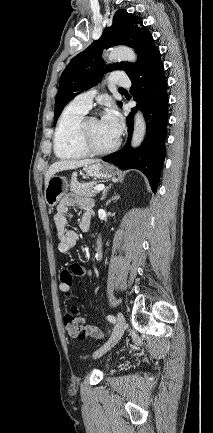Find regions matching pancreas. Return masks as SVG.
Returning a JSON list of instances; mask_svg holds the SVG:
<instances>
[{"instance_id": "1", "label": "pancreas", "mask_w": 213, "mask_h": 433, "mask_svg": "<svg viewBox=\"0 0 213 433\" xmlns=\"http://www.w3.org/2000/svg\"><path fill=\"white\" fill-rule=\"evenodd\" d=\"M92 188V183H79L76 178L71 180L70 190L77 196L94 197L98 191Z\"/></svg>"}]
</instances>
